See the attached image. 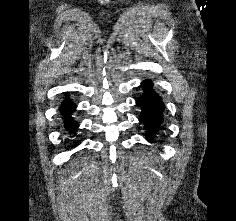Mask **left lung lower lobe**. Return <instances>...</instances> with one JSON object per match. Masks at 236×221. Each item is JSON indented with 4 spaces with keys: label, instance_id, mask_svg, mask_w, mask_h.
I'll use <instances>...</instances> for the list:
<instances>
[{
    "label": "left lung lower lobe",
    "instance_id": "0a47b994",
    "mask_svg": "<svg viewBox=\"0 0 236 221\" xmlns=\"http://www.w3.org/2000/svg\"><path fill=\"white\" fill-rule=\"evenodd\" d=\"M141 86L145 90V93L137 101V104L142 109L140 121H142L150 131L147 136V138L150 139L163 122L162 112L164 110V105L161 98L153 91V84L151 81L145 80L142 82Z\"/></svg>",
    "mask_w": 236,
    "mask_h": 221
}]
</instances>
